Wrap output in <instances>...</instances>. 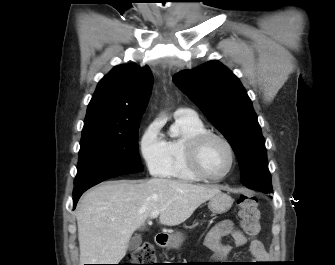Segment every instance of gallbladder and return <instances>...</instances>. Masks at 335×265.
I'll return each instance as SVG.
<instances>
[{
  "label": "gallbladder",
  "instance_id": "gallbladder-1",
  "mask_svg": "<svg viewBox=\"0 0 335 265\" xmlns=\"http://www.w3.org/2000/svg\"><path fill=\"white\" fill-rule=\"evenodd\" d=\"M142 243V238L141 235H135L134 237H132L128 243V249L130 251H133L135 249H137Z\"/></svg>",
  "mask_w": 335,
  "mask_h": 265
}]
</instances>
